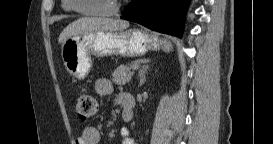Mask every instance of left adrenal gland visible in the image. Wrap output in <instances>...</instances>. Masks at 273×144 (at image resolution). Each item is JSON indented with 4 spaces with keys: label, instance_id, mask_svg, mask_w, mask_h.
<instances>
[{
    "label": "left adrenal gland",
    "instance_id": "1",
    "mask_svg": "<svg viewBox=\"0 0 273 144\" xmlns=\"http://www.w3.org/2000/svg\"><path fill=\"white\" fill-rule=\"evenodd\" d=\"M150 66L149 64H145L141 67V69L138 72L139 77V87H141L146 82V73L149 70Z\"/></svg>",
    "mask_w": 273,
    "mask_h": 144
}]
</instances>
